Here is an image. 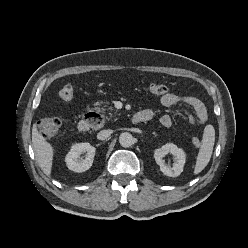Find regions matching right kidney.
Wrapping results in <instances>:
<instances>
[{
    "label": "right kidney",
    "instance_id": "right-kidney-1",
    "mask_svg": "<svg viewBox=\"0 0 248 248\" xmlns=\"http://www.w3.org/2000/svg\"><path fill=\"white\" fill-rule=\"evenodd\" d=\"M96 148L89 143H78L71 147L65 161L69 170L74 172H85L93 163ZM85 153V158L80 159V155Z\"/></svg>",
    "mask_w": 248,
    "mask_h": 248
}]
</instances>
